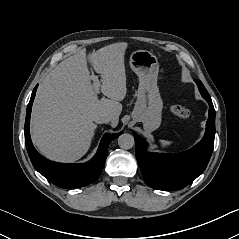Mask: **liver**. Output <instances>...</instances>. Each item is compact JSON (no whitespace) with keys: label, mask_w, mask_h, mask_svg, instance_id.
<instances>
[{"label":"liver","mask_w":239,"mask_h":239,"mask_svg":"<svg viewBox=\"0 0 239 239\" xmlns=\"http://www.w3.org/2000/svg\"><path fill=\"white\" fill-rule=\"evenodd\" d=\"M126 43H115L89 54L94 70L101 75L98 99L82 50L59 63L40 84L32 108L31 138L48 159L74 162L84 156L97 125L95 116H111L118 125L122 101L127 92L124 55Z\"/></svg>","instance_id":"liver-1"}]
</instances>
